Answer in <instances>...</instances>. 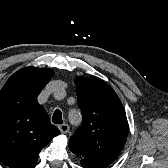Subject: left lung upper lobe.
Segmentation results:
<instances>
[{
  "label": "left lung upper lobe",
  "mask_w": 168,
  "mask_h": 168,
  "mask_svg": "<svg viewBox=\"0 0 168 168\" xmlns=\"http://www.w3.org/2000/svg\"><path fill=\"white\" fill-rule=\"evenodd\" d=\"M82 126L70 138L69 148L81 160L103 168L119 155L128 136V122L115 91L95 78L75 79Z\"/></svg>",
  "instance_id": "5c2ea615"
}]
</instances>
